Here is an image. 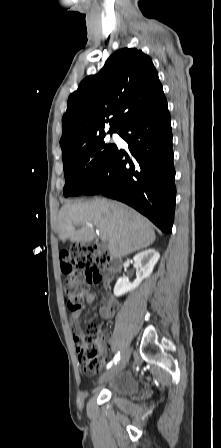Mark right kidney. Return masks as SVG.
Wrapping results in <instances>:
<instances>
[{
	"label": "right kidney",
	"instance_id": "1",
	"mask_svg": "<svg viewBox=\"0 0 221 448\" xmlns=\"http://www.w3.org/2000/svg\"><path fill=\"white\" fill-rule=\"evenodd\" d=\"M159 258L160 254L155 249H147L135 255L133 260L138 268L137 278L133 283H130L122 277L119 278L114 287V295L119 297L137 288L145 278L151 275Z\"/></svg>",
	"mask_w": 221,
	"mask_h": 448
}]
</instances>
